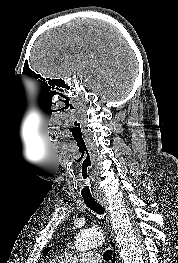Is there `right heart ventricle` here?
<instances>
[{"mask_svg": "<svg viewBox=\"0 0 178 263\" xmlns=\"http://www.w3.org/2000/svg\"><path fill=\"white\" fill-rule=\"evenodd\" d=\"M49 263H61L59 260H52Z\"/></svg>", "mask_w": 178, "mask_h": 263, "instance_id": "obj_1", "label": "right heart ventricle"}]
</instances>
